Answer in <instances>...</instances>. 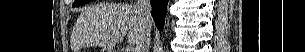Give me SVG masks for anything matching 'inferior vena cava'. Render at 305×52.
I'll list each match as a JSON object with an SVG mask.
<instances>
[{
    "label": "inferior vena cava",
    "mask_w": 305,
    "mask_h": 52,
    "mask_svg": "<svg viewBox=\"0 0 305 52\" xmlns=\"http://www.w3.org/2000/svg\"><path fill=\"white\" fill-rule=\"evenodd\" d=\"M136 7L145 28L141 41L136 45V52H149L151 41L152 15L150 0H137Z\"/></svg>",
    "instance_id": "1"
}]
</instances>
